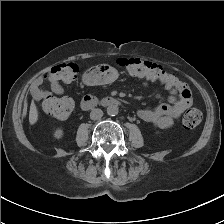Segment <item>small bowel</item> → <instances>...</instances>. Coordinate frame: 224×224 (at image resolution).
<instances>
[{"mask_svg":"<svg viewBox=\"0 0 224 224\" xmlns=\"http://www.w3.org/2000/svg\"><path fill=\"white\" fill-rule=\"evenodd\" d=\"M117 71L108 64H99L88 69L83 81L87 85L107 84L117 78ZM64 84L60 77L52 72V68L39 75L31 86L34 98L42 99L50 95H63ZM49 85V89L44 87ZM147 86L148 82H144ZM169 91V103H162L151 108H142L137 111L138 116L157 128H168L177 121L186 108L192 104V94L186 84L177 77L169 84L164 85Z\"/></svg>","mask_w":224,"mask_h":224,"instance_id":"small-bowel-1","label":"small bowel"}]
</instances>
